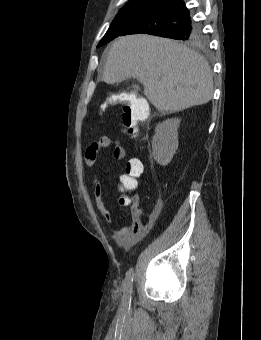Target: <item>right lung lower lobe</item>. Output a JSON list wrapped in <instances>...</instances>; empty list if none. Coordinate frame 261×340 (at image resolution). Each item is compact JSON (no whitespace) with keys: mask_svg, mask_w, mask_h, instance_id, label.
<instances>
[{"mask_svg":"<svg viewBox=\"0 0 261 340\" xmlns=\"http://www.w3.org/2000/svg\"><path fill=\"white\" fill-rule=\"evenodd\" d=\"M194 24L183 0H162L120 36L148 33L172 38L174 34L189 30Z\"/></svg>","mask_w":261,"mask_h":340,"instance_id":"98d812e1","label":"right lung lower lobe"}]
</instances>
